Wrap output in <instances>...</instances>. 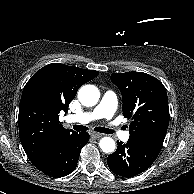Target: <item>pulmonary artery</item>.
<instances>
[{
    "mask_svg": "<svg viewBox=\"0 0 194 194\" xmlns=\"http://www.w3.org/2000/svg\"><path fill=\"white\" fill-rule=\"evenodd\" d=\"M116 108H117V97L115 93L107 91L103 95L99 105L94 110L70 116L69 121L77 122L80 124H87L91 121L101 118L109 120L113 117ZM110 126L113 133L119 136L122 140L127 141L129 139V134L127 132L118 131L114 123H110Z\"/></svg>",
    "mask_w": 194,
    "mask_h": 194,
    "instance_id": "e3ab8cb5",
    "label": "pulmonary artery"
}]
</instances>
